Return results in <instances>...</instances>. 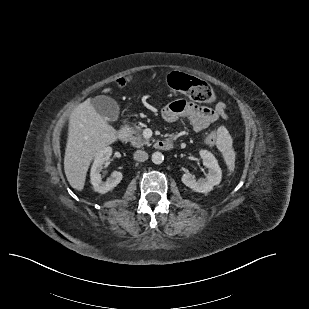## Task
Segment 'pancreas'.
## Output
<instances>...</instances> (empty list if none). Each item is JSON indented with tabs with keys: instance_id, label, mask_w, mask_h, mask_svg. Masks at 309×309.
I'll return each mask as SVG.
<instances>
[{
	"instance_id": "pancreas-1",
	"label": "pancreas",
	"mask_w": 309,
	"mask_h": 309,
	"mask_svg": "<svg viewBox=\"0 0 309 309\" xmlns=\"http://www.w3.org/2000/svg\"><path fill=\"white\" fill-rule=\"evenodd\" d=\"M132 135L131 143L133 146L140 148L149 144V140L142 136V128L140 126L132 128Z\"/></svg>"
}]
</instances>
